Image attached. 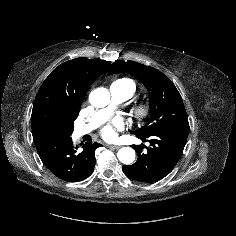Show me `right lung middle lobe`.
<instances>
[{
	"mask_svg": "<svg viewBox=\"0 0 236 236\" xmlns=\"http://www.w3.org/2000/svg\"><path fill=\"white\" fill-rule=\"evenodd\" d=\"M73 127H74V126H72V127L69 129V131H68L67 133H65L64 135H62V137H70V135H71L72 132H73Z\"/></svg>",
	"mask_w": 236,
	"mask_h": 236,
	"instance_id": "1",
	"label": "right lung middle lobe"
}]
</instances>
